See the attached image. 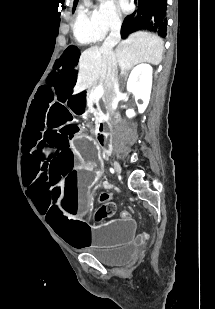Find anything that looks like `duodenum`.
Returning <instances> with one entry per match:
<instances>
[{
  "instance_id": "1",
  "label": "duodenum",
  "mask_w": 215,
  "mask_h": 309,
  "mask_svg": "<svg viewBox=\"0 0 215 309\" xmlns=\"http://www.w3.org/2000/svg\"><path fill=\"white\" fill-rule=\"evenodd\" d=\"M99 130H98V133H97V140H98V143L99 145L103 148V149H107V146H108V143H107V139H106V135H105V132L103 130V124L101 123L99 125Z\"/></svg>"
}]
</instances>
